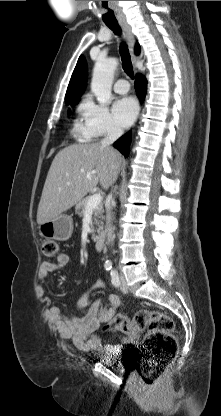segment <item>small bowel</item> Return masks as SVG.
I'll list each match as a JSON object with an SVG mask.
<instances>
[{
    "mask_svg": "<svg viewBox=\"0 0 221 416\" xmlns=\"http://www.w3.org/2000/svg\"><path fill=\"white\" fill-rule=\"evenodd\" d=\"M70 261L68 254L61 252L56 262L42 261L39 265V276L45 278L48 274L62 270ZM105 288L102 280H96L78 299L77 308L80 315L63 312L59 307L52 306L46 312V317L53 325L59 336L70 340L81 351L95 352L99 350L110 353L115 345H103L97 330L106 324L116 314L121 300L116 294H109L106 303L101 299L91 302L94 292Z\"/></svg>",
    "mask_w": 221,
    "mask_h": 416,
    "instance_id": "small-bowel-1",
    "label": "small bowel"
}]
</instances>
